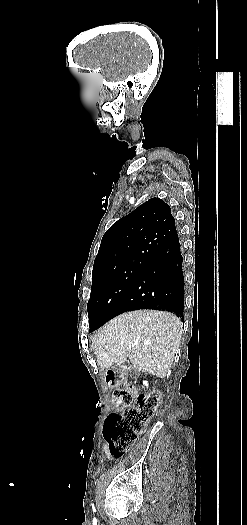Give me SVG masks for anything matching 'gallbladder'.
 <instances>
[{
	"instance_id": "obj_1",
	"label": "gallbladder",
	"mask_w": 247,
	"mask_h": 525,
	"mask_svg": "<svg viewBox=\"0 0 247 525\" xmlns=\"http://www.w3.org/2000/svg\"><path fill=\"white\" fill-rule=\"evenodd\" d=\"M131 373H136V368H131Z\"/></svg>"
}]
</instances>
